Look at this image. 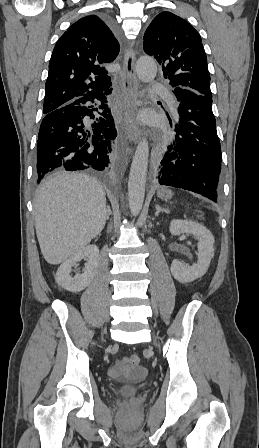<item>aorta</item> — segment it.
I'll use <instances>...</instances> for the list:
<instances>
[{
  "mask_svg": "<svg viewBox=\"0 0 259 448\" xmlns=\"http://www.w3.org/2000/svg\"><path fill=\"white\" fill-rule=\"evenodd\" d=\"M157 73L156 61L149 56H142L136 63V74L144 83L154 80ZM149 145L148 141L143 138L137 145L133 156L129 181H128V201L132 215L136 216L140 213L144 195L145 184L148 167Z\"/></svg>",
  "mask_w": 259,
  "mask_h": 448,
  "instance_id": "obj_1",
  "label": "aorta"
}]
</instances>
